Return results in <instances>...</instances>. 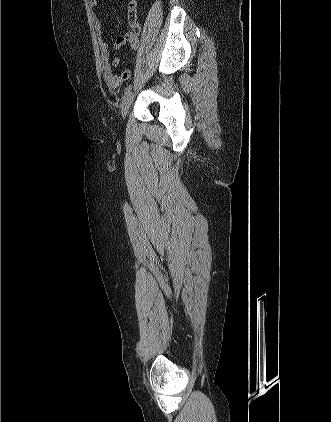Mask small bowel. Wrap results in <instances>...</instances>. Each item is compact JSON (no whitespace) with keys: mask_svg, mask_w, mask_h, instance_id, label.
<instances>
[{"mask_svg":"<svg viewBox=\"0 0 331 422\" xmlns=\"http://www.w3.org/2000/svg\"><path fill=\"white\" fill-rule=\"evenodd\" d=\"M89 2L92 7H96L98 5V0H89ZM92 16L94 29L97 35V46L100 51L103 76L112 88L117 89L130 79L131 72L129 70H122L119 73L115 72V69L120 65L121 60L118 57L110 59L108 44L102 36L101 22L97 13L94 12ZM130 24L132 29L125 31L123 35H120L115 39L113 45L115 50H120L126 45H128L133 51L138 49V34L140 27L136 20H133L131 16Z\"/></svg>","mask_w":331,"mask_h":422,"instance_id":"1","label":"small bowel"}]
</instances>
